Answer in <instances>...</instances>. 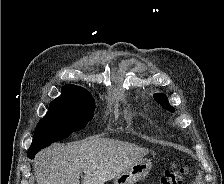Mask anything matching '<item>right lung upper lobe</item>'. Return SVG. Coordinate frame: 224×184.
Wrapping results in <instances>:
<instances>
[{"label": "right lung upper lobe", "instance_id": "right-lung-upper-lobe-1", "mask_svg": "<svg viewBox=\"0 0 224 184\" xmlns=\"http://www.w3.org/2000/svg\"><path fill=\"white\" fill-rule=\"evenodd\" d=\"M90 97L88 91L75 85H66L62 88V94L55 100L78 101Z\"/></svg>", "mask_w": 224, "mask_h": 184}]
</instances>
